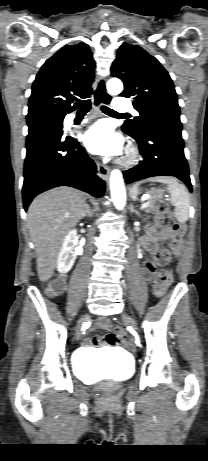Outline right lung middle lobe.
<instances>
[{"label":"right lung middle lobe","instance_id":"dd1d6c3e","mask_svg":"<svg viewBox=\"0 0 208 461\" xmlns=\"http://www.w3.org/2000/svg\"><path fill=\"white\" fill-rule=\"evenodd\" d=\"M27 125L28 134H32L43 127L51 125H63V118L31 117L27 118Z\"/></svg>","mask_w":208,"mask_h":461}]
</instances>
